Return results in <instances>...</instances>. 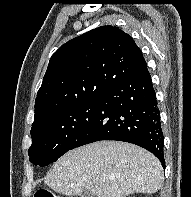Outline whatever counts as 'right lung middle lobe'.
Masks as SVG:
<instances>
[{
    "mask_svg": "<svg viewBox=\"0 0 191 197\" xmlns=\"http://www.w3.org/2000/svg\"><path fill=\"white\" fill-rule=\"evenodd\" d=\"M98 102L78 104L57 112L31 128L32 145L29 160L46 166L70 150L94 116Z\"/></svg>",
    "mask_w": 191,
    "mask_h": 197,
    "instance_id": "1",
    "label": "right lung middle lobe"
}]
</instances>
